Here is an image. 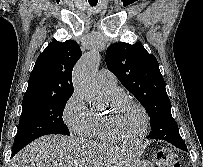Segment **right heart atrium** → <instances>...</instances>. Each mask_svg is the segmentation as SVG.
Instances as JSON below:
<instances>
[{
    "instance_id": "1",
    "label": "right heart atrium",
    "mask_w": 203,
    "mask_h": 167,
    "mask_svg": "<svg viewBox=\"0 0 203 167\" xmlns=\"http://www.w3.org/2000/svg\"><path fill=\"white\" fill-rule=\"evenodd\" d=\"M91 112L77 92H73L66 100L62 119L66 127L75 135H84Z\"/></svg>"
}]
</instances>
